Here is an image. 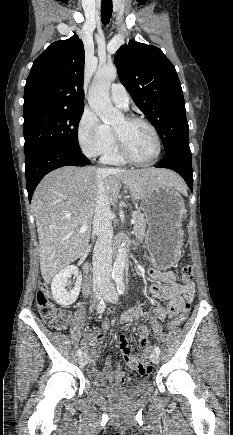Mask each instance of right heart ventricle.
Returning <instances> with one entry per match:
<instances>
[{
    "label": "right heart ventricle",
    "mask_w": 233,
    "mask_h": 435,
    "mask_svg": "<svg viewBox=\"0 0 233 435\" xmlns=\"http://www.w3.org/2000/svg\"><path fill=\"white\" fill-rule=\"evenodd\" d=\"M110 130V129H109ZM111 145L109 149L103 154L102 161L108 165H125L126 161L121 157L117 148L113 133L111 132Z\"/></svg>",
    "instance_id": "e07e8e85"
}]
</instances>
